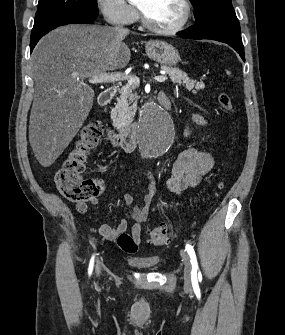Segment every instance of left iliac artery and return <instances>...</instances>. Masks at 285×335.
<instances>
[{
    "mask_svg": "<svg viewBox=\"0 0 285 335\" xmlns=\"http://www.w3.org/2000/svg\"><path fill=\"white\" fill-rule=\"evenodd\" d=\"M186 251L190 256V261L192 264V279H197V271H198V263H197V259H196V255H195V251L193 249V247L189 244H186Z\"/></svg>",
    "mask_w": 285,
    "mask_h": 335,
    "instance_id": "left-iliac-artery-1",
    "label": "left iliac artery"
}]
</instances>
